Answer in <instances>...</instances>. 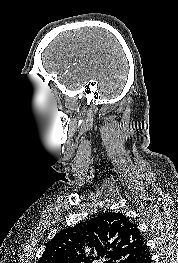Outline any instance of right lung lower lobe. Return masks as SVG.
Wrapping results in <instances>:
<instances>
[{"instance_id":"obj_1","label":"right lung lower lobe","mask_w":178,"mask_h":263,"mask_svg":"<svg viewBox=\"0 0 178 263\" xmlns=\"http://www.w3.org/2000/svg\"><path fill=\"white\" fill-rule=\"evenodd\" d=\"M140 263H152L150 253L140 261Z\"/></svg>"}]
</instances>
